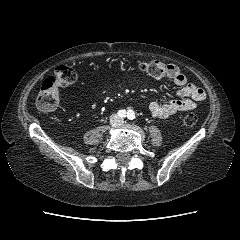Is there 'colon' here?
Returning a JSON list of instances; mask_svg holds the SVG:
<instances>
[{"instance_id": "1", "label": "colon", "mask_w": 240, "mask_h": 240, "mask_svg": "<svg viewBox=\"0 0 240 240\" xmlns=\"http://www.w3.org/2000/svg\"><path fill=\"white\" fill-rule=\"evenodd\" d=\"M138 69L154 79H164L168 74V65L161 60L142 62ZM78 78V72L71 66L60 65L53 73L46 77L41 85V89L36 98V107L40 111H51L58 106L60 88L68 87ZM197 122V117L193 113H188L181 118L183 127H193Z\"/></svg>"}]
</instances>
